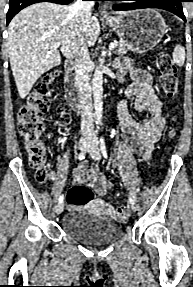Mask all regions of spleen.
<instances>
[{
  "mask_svg": "<svg viewBox=\"0 0 193 287\" xmlns=\"http://www.w3.org/2000/svg\"><path fill=\"white\" fill-rule=\"evenodd\" d=\"M173 62L178 66H183L185 62V49L181 44H177L172 54Z\"/></svg>",
  "mask_w": 193,
  "mask_h": 287,
  "instance_id": "spleen-1",
  "label": "spleen"
}]
</instances>
